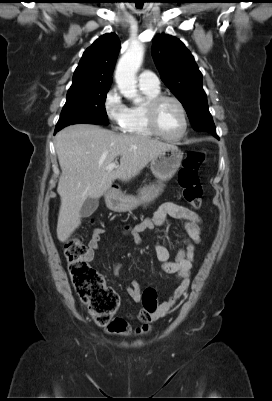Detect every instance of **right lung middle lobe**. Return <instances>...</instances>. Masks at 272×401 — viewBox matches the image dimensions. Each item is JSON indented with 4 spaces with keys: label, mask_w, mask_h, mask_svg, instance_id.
Returning a JSON list of instances; mask_svg holds the SVG:
<instances>
[{
    "label": "right lung middle lobe",
    "mask_w": 272,
    "mask_h": 401,
    "mask_svg": "<svg viewBox=\"0 0 272 401\" xmlns=\"http://www.w3.org/2000/svg\"><path fill=\"white\" fill-rule=\"evenodd\" d=\"M109 88H95L67 94V100L55 131L76 123L108 125L109 122L104 104Z\"/></svg>",
    "instance_id": "dd1d6c3e"
}]
</instances>
